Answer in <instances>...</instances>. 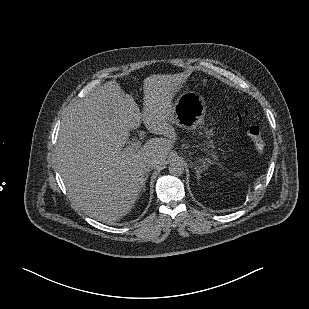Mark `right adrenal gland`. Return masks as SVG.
<instances>
[{"instance_id":"2a0ac1e0","label":"right adrenal gland","mask_w":309,"mask_h":309,"mask_svg":"<svg viewBox=\"0 0 309 309\" xmlns=\"http://www.w3.org/2000/svg\"><path fill=\"white\" fill-rule=\"evenodd\" d=\"M148 179V173L146 174V177H145V181H144V184H143V191L145 192L146 190V181Z\"/></svg>"}]
</instances>
